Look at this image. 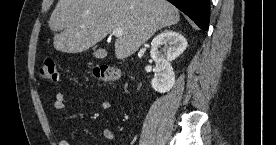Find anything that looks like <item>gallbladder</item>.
<instances>
[{
  "label": "gallbladder",
  "instance_id": "bac80fb5",
  "mask_svg": "<svg viewBox=\"0 0 276 145\" xmlns=\"http://www.w3.org/2000/svg\"><path fill=\"white\" fill-rule=\"evenodd\" d=\"M94 55L96 58L98 59H103L105 56H106V52L104 49H97L95 52H94Z\"/></svg>",
  "mask_w": 276,
  "mask_h": 145
}]
</instances>
